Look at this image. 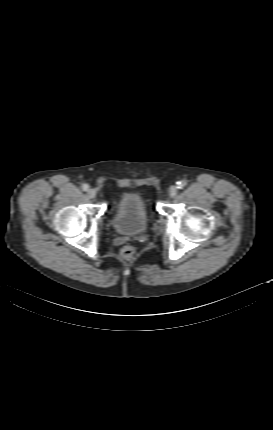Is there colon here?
I'll return each instance as SVG.
<instances>
[{"mask_svg":"<svg viewBox=\"0 0 273 430\" xmlns=\"http://www.w3.org/2000/svg\"><path fill=\"white\" fill-rule=\"evenodd\" d=\"M135 253V249L133 246L130 245H126L124 247H122L121 251H120V255L123 259H131L134 256Z\"/></svg>","mask_w":273,"mask_h":430,"instance_id":"obj_1","label":"colon"}]
</instances>
